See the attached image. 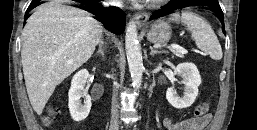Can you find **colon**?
Listing matches in <instances>:
<instances>
[{
    "label": "colon",
    "instance_id": "5ec220e1",
    "mask_svg": "<svg viewBox=\"0 0 257 130\" xmlns=\"http://www.w3.org/2000/svg\"><path fill=\"white\" fill-rule=\"evenodd\" d=\"M209 108H210V103L208 101L201 102L196 106L194 114L197 118L205 117L209 112ZM55 112H56V109L49 110L47 116L44 118L47 124H49L52 121Z\"/></svg>",
    "mask_w": 257,
    "mask_h": 130
}]
</instances>
